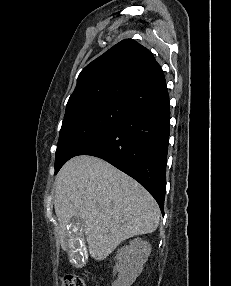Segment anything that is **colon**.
Returning a JSON list of instances; mask_svg holds the SVG:
<instances>
[{"instance_id": "1", "label": "colon", "mask_w": 231, "mask_h": 286, "mask_svg": "<svg viewBox=\"0 0 231 286\" xmlns=\"http://www.w3.org/2000/svg\"><path fill=\"white\" fill-rule=\"evenodd\" d=\"M61 286H85L84 279L77 274H68L64 276Z\"/></svg>"}]
</instances>
